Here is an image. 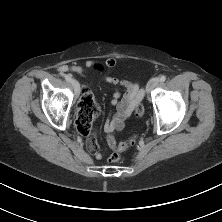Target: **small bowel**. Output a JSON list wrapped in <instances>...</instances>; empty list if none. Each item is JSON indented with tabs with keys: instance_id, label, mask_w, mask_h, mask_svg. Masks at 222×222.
Here are the masks:
<instances>
[{
	"instance_id": "small-bowel-1",
	"label": "small bowel",
	"mask_w": 222,
	"mask_h": 222,
	"mask_svg": "<svg viewBox=\"0 0 222 222\" xmlns=\"http://www.w3.org/2000/svg\"><path fill=\"white\" fill-rule=\"evenodd\" d=\"M105 65L109 68L116 65V60L109 58L106 60ZM102 65L93 60H88L84 66H69L61 65L58 70L60 72L73 71L77 74L84 75L87 70H99ZM105 80L118 89L114 92L111 100V105L116 107V112L111 115L105 122L104 128L107 132H115L122 130L126 121L131 117L136 105L143 99V90L135 83L128 80H121L115 77H106ZM123 91L121 95L120 90ZM88 147L94 151V156L97 159L103 157V153L97 149V136L93 133V122L88 129L87 134Z\"/></svg>"
}]
</instances>
